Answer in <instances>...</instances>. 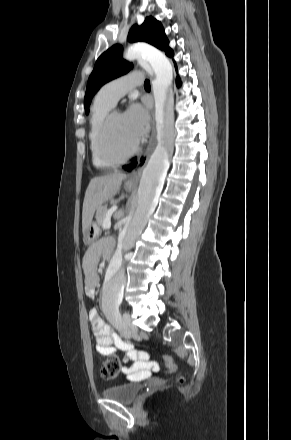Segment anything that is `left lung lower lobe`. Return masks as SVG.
<instances>
[{
  "label": "left lung lower lobe",
  "instance_id": "left-lung-lower-lobe-1",
  "mask_svg": "<svg viewBox=\"0 0 291 440\" xmlns=\"http://www.w3.org/2000/svg\"><path fill=\"white\" fill-rule=\"evenodd\" d=\"M176 82H177V85L180 86V79L178 77H177ZM136 165H137V162L135 161L129 165L123 166V169L126 171H131L132 169H134L136 167Z\"/></svg>",
  "mask_w": 291,
  "mask_h": 440
}]
</instances>
